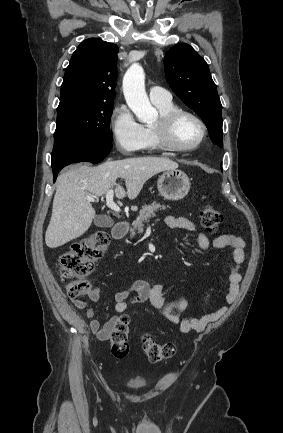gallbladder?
Returning a JSON list of instances; mask_svg holds the SVG:
<instances>
[{
	"label": "gallbladder",
	"mask_w": 283,
	"mask_h": 433,
	"mask_svg": "<svg viewBox=\"0 0 283 433\" xmlns=\"http://www.w3.org/2000/svg\"><path fill=\"white\" fill-rule=\"evenodd\" d=\"M96 227H113L114 221L111 217H107V214H97L94 219Z\"/></svg>",
	"instance_id": "gallbladder-1"
}]
</instances>
